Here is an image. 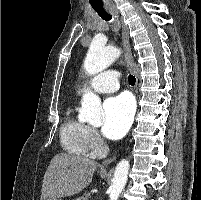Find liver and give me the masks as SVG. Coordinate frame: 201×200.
I'll list each match as a JSON object with an SVG mask.
<instances>
[{
	"mask_svg": "<svg viewBox=\"0 0 201 200\" xmlns=\"http://www.w3.org/2000/svg\"><path fill=\"white\" fill-rule=\"evenodd\" d=\"M97 163L87 157L60 153L51 160L42 183L40 200L75 195L92 181Z\"/></svg>",
	"mask_w": 201,
	"mask_h": 200,
	"instance_id": "6515ba94",
	"label": "liver"
}]
</instances>
